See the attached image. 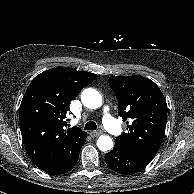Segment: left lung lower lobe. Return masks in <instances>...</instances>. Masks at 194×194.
<instances>
[{"mask_svg":"<svg viewBox=\"0 0 194 194\" xmlns=\"http://www.w3.org/2000/svg\"><path fill=\"white\" fill-rule=\"evenodd\" d=\"M105 160L108 167L113 171L124 175H133L144 169L152 158L120 143H115L113 150L105 155Z\"/></svg>","mask_w":194,"mask_h":194,"instance_id":"0a47b994","label":"left lung lower lobe"}]
</instances>
